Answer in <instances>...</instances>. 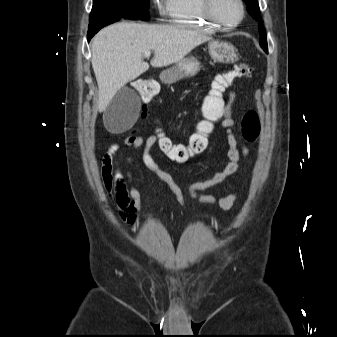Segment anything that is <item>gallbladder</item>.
<instances>
[{"instance_id": "bac80fb5", "label": "gallbladder", "mask_w": 337, "mask_h": 337, "mask_svg": "<svg viewBox=\"0 0 337 337\" xmlns=\"http://www.w3.org/2000/svg\"><path fill=\"white\" fill-rule=\"evenodd\" d=\"M139 111V97L134 90L123 87L105 109L104 125L111 132H122L132 127L138 118Z\"/></svg>"}]
</instances>
